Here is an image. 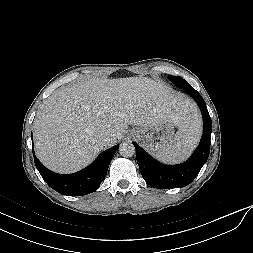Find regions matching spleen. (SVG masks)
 <instances>
[{
  "instance_id": "3e777b00",
  "label": "spleen",
  "mask_w": 253,
  "mask_h": 253,
  "mask_svg": "<svg viewBox=\"0 0 253 253\" xmlns=\"http://www.w3.org/2000/svg\"><path fill=\"white\" fill-rule=\"evenodd\" d=\"M202 129V122L196 110L191 109L171 141L156 157L163 163H178L189 157L196 147Z\"/></svg>"
}]
</instances>
